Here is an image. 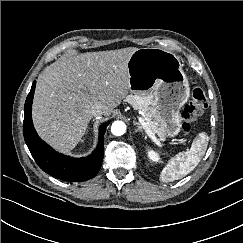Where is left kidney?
Segmentation results:
<instances>
[{
    "mask_svg": "<svg viewBox=\"0 0 243 243\" xmlns=\"http://www.w3.org/2000/svg\"><path fill=\"white\" fill-rule=\"evenodd\" d=\"M148 157L154 162H158L160 160L158 153L153 150L148 151Z\"/></svg>",
    "mask_w": 243,
    "mask_h": 243,
    "instance_id": "obj_1",
    "label": "left kidney"
}]
</instances>
